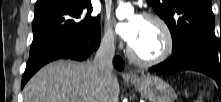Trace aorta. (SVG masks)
I'll list each match as a JSON object with an SVG mask.
<instances>
[{"label": "aorta", "mask_w": 221, "mask_h": 102, "mask_svg": "<svg viewBox=\"0 0 221 102\" xmlns=\"http://www.w3.org/2000/svg\"><path fill=\"white\" fill-rule=\"evenodd\" d=\"M133 12V7L130 3H124L123 0H119L118 8L116 9V16L122 20L128 17Z\"/></svg>", "instance_id": "1"}]
</instances>
